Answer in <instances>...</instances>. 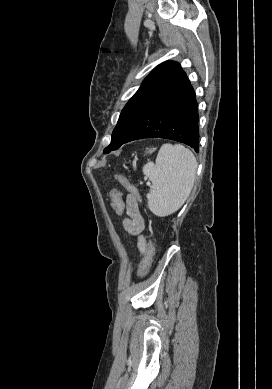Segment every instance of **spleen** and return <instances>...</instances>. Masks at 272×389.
Returning <instances> with one entry per match:
<instances>
[{
  "label": "spleen",
  "instance_id": "1",
  "mask_svg": "<svg viewBox=\"0 0 272 389\" xmlns=\"http://www.w3.org/2000/svg\"><path fill=\"white\" fill-rule=\"evenodd\" d=\"M196 170L197 161L189 149L179 144L162 145L156 163L143 167L153 184L147 194L151 212L160 217L176 212L191 192Z\"/></svg>",
  "mask_w": 272,
  "mask_h": 389
}]
</instances>
